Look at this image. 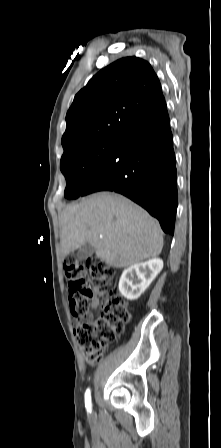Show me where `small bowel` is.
Instances as JSON below:
<instances>
[{
  "instance_id": "1",
  "label": "small bowel",
  "mask_w": 221,
  "mask_h": 448,
  "mask_svg": "<svg viewBox=\"0 0 221 448\" xmlns=\"http://www.w3.org/2000/svg\"><path fill=\"white\" fill-rule=\"evenodd\" d=\"M99 304H100L99 298L96 297L92 302L91 308L95 309L99 306ZM105 304H106V298H104V300H103V305H105Z\"/></svg>"
}]
</instances>
